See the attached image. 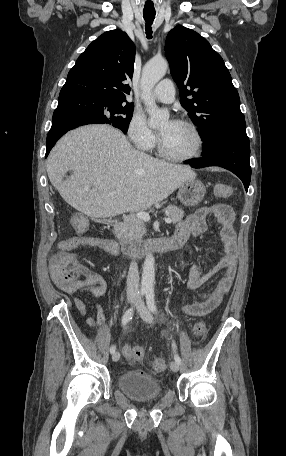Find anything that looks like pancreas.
I'll return each instance as SVG.
<instances>
[{
  "label": "pancreas",
  "instance_id": "pancreas-1",
  "mask_svg": "<svg viewBox=\"0 0 286 456\" xmlns=\"http://www.w3.org/2000/svg\"><path fill=\"white\" fill-rule=\"evenodd\" d=\"M164 211L174 224L180 222L184 217V211L175 205H169ZM115 233L123 243L138 242L146 234L144 221L136 215H131L118 225Z\"/></svg>",
  "mask_w": 286,
  "mask_h": 456
}]
</instances>
